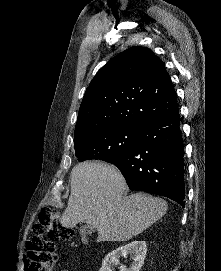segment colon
I'll use <instances>...</instances> for the list:
<instances>
[{
	"label": "colon",
	"mask_w": 221,
	"mask_h": 271,
	"mask_svg": "<svg viewBox=\"0 0 221 271\" xmlns=\"http://www.w3.org/2000/svg\"><path fill=\"white\" fill-rule=\"evenodd\" d=\"M74 236L75 232L63 224L55 207H43L23 254V271H53L58 258L54 241H68Z\"/></svg>",
	"instance_id": "colon-1"
}]
</instances>
